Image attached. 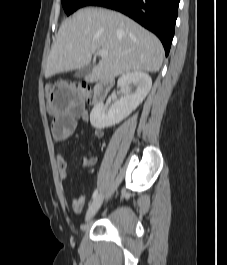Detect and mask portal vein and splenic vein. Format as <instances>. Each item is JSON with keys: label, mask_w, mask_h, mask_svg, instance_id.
I'll return each instance as SVG.
<instances>
[{"label": "portal vein and splenic vein", "mask_w": 227, "mask_h": 265, "mask_svg": "<svg viewBox=\"0 0 227 265\" xmlns=\"http://www.w3.org/2000/svg\"><path fill=\"white\" fill-rule=\"evenodd\" d=\"M98 54L102 57L105 58L108 56V52L106 50H99Z\"/></svg>", "instance_id": "18ae733b"}]
</instances>
